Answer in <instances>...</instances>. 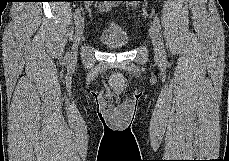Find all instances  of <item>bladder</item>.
<instances>
[{"label":"bladder","mask_w":229,"mask_h":161,"mask_svg":"<svg viewBox=\"0 0 229 161\" xmlns=\"http://www.w3.org/2000/svg\"><path fill=\"white\" fill-rule=\"evenodd\" d=\"M101 44L110 50L127 47L128 37L125 30L116 21H109L99 36Z\"/></svg>","instance_id":"1"}]
</instances>
